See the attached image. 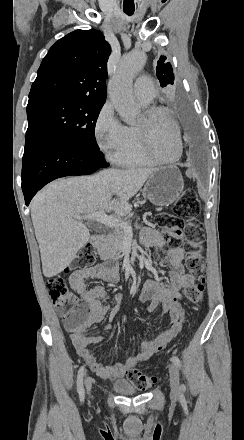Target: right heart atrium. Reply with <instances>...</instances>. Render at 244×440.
<instances>
[{
  "label": "right heart atrium",
  "mask_w": 244,
  "mask_h": 440,
  "mask_svg": "<svg viewBox=\"0 0 244 440\" xmlns=\"http://www.w3.org/2000/svg\"><path fill=\"white\" fill-rule=\"evenodd\" d=\"M94 136L102 151L113 158V152L130 151L134 148V140L128 136L125 126L115 113L112 103L107 102L101 108L94 125Z\"/></svg>",
  "instance_id": "d8ad5b80"
}]
</instances>
